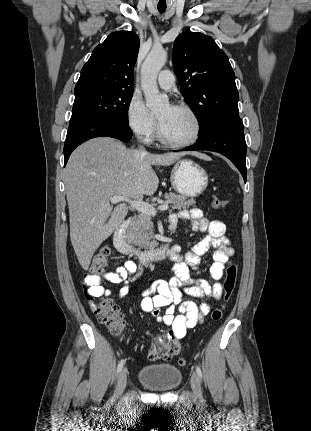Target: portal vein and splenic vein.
<instances>
[{"label": "portal vein and splenic vein", "instance_id": "portal-vein-and-splenic-vein-1", "mask_svg": "<svg viewBox=\"0 0 311 431\" xmlns=\"http://www.w3.org/2000/svg\"><path fill=\"white\" fill-rule=\"evenodd\" d=\"M111 204H118V202H128L131 208H135L141 214H148V216H156L157 210H169V204H163V206H158V208H154L151 204H146V202H137V200H129V198H124V196H112L110 198Z\"/></svg>", "mask_w": 311, "mask_h": 431}]
</instances>
